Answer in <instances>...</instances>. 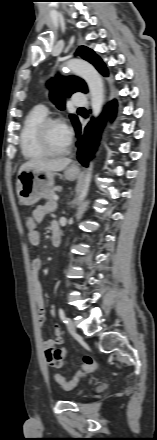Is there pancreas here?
Instances as JSON below:
<instances>
[{"label": "pancreas", "instance_id": "obj_1", "mask_svg": "<svg viewBox=\"0 0 157 440\" xmlns=\"http://www.w3.org/2000/svg\"><path fill=\"white\" fill-rule=\"evenodd\" d=\"M59 190H60L59 187H55L45 196V198L49 201V203H53V201H54L53 198L56 195L55 191H59Z\"/></svg>", "mask_w": 157, "mask_h": 440}]
</instances>
